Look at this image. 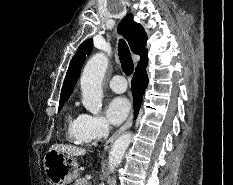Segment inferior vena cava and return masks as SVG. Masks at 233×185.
<instances>
[{
  "label": "inferior vena cava",
  "instance_id": "obj_1",
  "mask_svg": "<svg viewBox=\"0 0 233 185\" xmlns=\"http://www.w3.org/2000/svg\"><path fill=\"white\" fill-rule=\"evenodd\" d=\"M108 135H109V125L106 124V125L104 126L103 136H104V138H107Z\"/></svg>",
  "mask_w": 233,
  "mask_h": 185
}]
</instances>
